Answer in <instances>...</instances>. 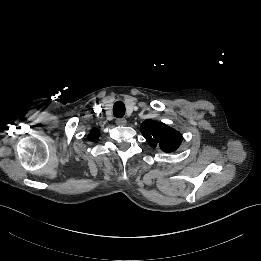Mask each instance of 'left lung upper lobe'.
<instances>
[{"label":"left lung upper lobe","instance_id":"obj_1","mask_svg":"<svg viewBox=\"0 0 261 261\" xmlns=\"http://www.w3.org/2000/svg\"><path fill=\"white\" fill-rule=\"evenodd\" d=\"M140 131L153 148L160 146L164 152L175 151L181 141V134L164 123L146 120L140 126Z\"/></svg>","mask_w":261,"mask_h":261}]
</instances>
